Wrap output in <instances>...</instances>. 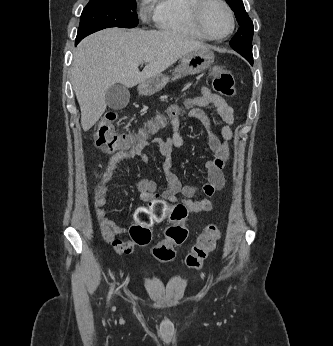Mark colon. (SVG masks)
I'll use <instances>...</instances> for the list:
<instances>
[{
	"instance_id": "colon-1",
	"label": "colon",
	"mask_w": 333,
	"mask_h": 346,
	"mask_svg": "<svg viewBox=\"0 0 333 346\" xmlns=\"http://www.w3.org/2000/svg\"><path fill=\"white\" fill-rule=\"evenodd\" d=\"M213 87L220 95L232 97L235 93V80L233 74L225 68L214 69ZM179 114L173 109L168 116H159L136 134L119 133L114 129L117 115L114 112L107 113L99 122L94 134V143L99 148L109 153L125 152L130 150L166 126L168 117ZM187 216V210L183 205L168 206L164 200H154L149 206L141 207L135 212V223L130 227V235L135 236L136 246L147 245L152 238L151 227L168 217L172 225L166 229L165 239L153 246L154 257L161 262H169L175 257V247L182 245L188 235L183 221ZM220 238V229L216 225L208 226L198 237L197 243L186 257L188 266L198 269L207 256L215 249Z\"/></svg>"
}]
</instances>
